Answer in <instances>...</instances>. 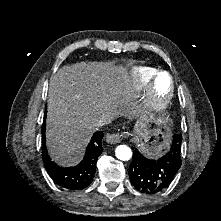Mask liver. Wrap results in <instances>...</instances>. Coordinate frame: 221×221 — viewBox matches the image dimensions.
I'll return each mask as SVG.
<instances>
[{
  "mask_svg": "<svg viewBox=\"0 0 221 221\" xmlns=\"http://www.w3.org/2000/svg\"><path fill=\"white\" fill-rule=\"evenodd\" d=\"M135 101L126 68L110 62L61 67L48 91L47 147L60 165H75L105 115L127 116Z\"/></svg>",
  "mask_w": 221,
  "mask_h": 221,
  "instance_id": "liver-1",
  "label": "liver"
}]
</instances>
